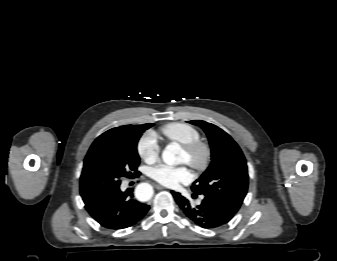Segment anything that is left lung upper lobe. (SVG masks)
<instances>
[{"instance_id": "obj_1", "label": "left lung upper lobe", "mask_w": 337, "mask_h": 261, "mask_svg": "<svg viewBox=\"0 0 337 261\" xmlns=\"http://www.w3.org/2000/svg\"><path fill=\"white\" fill-rule=\"evenodd\" d=\"M200 126L209 139L212 162L191 189L237 213L248 189L244 155L236 142L222 129L202 120L189 121Z\"/></svg>"}]
</instances>
